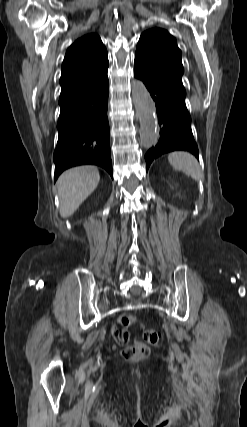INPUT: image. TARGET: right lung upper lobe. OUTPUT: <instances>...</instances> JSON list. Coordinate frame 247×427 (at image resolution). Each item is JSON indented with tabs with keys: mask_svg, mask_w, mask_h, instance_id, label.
<instances>
[{
	"mask_svg": "<svg viewBox=\"0 0 247 427\" xmlns=\"http://www.w3.org/2000/svg\"><path fill=\"white\" fill-rule=\"evenodd\" d=\"M108 55L97 34H88L76 40L67 50L62 63L61 93L87 85L108 70Z\"/></svg>",
	"mask_w": 247,
	"mask_h": 427,
	"instance_id": "1",
	"label": "right lung upper lobe"
}]
</instances>
